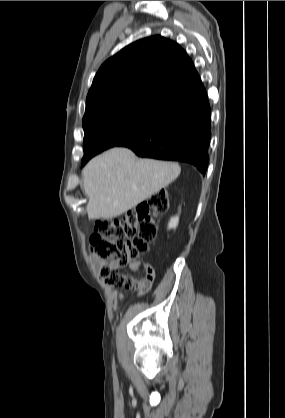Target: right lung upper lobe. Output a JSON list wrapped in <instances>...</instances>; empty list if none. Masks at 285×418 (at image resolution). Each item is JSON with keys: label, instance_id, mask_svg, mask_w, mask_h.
I'll return each mask as SVG.
<instances>
[{"label": "right lung upper lobe", "instance_id": "cb5924a9", "mask_svg": "<svg viewBox=\"0 0 285 418\" xmlns=\"http://www.w3.org/2000/svg\"><path fill=\"white\" fill-rule=\"evenodd\" d=\"M203 88L179 44L152 36L126 46L100 67L87 95L84 117L104 106L134 100L170 107Z\"/></svg>", "mask_w": 285, "mask_h": 418}]
</instances>
